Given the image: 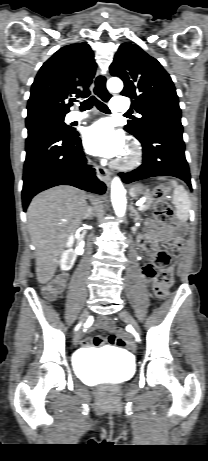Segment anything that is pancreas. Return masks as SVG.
Listing matches in <instances>:
<instances>
[{
    "label": "pancreas",
    "mask_w": 208,
    "mask_h": 461,
    "mask_svg": "<svg viewBox=\"0 0 208 461\" xmlns=\"http://www.w3.org/2000/svg\"><path fill=\"white\" fill-rule=\"evenodd\" d=\"M152 202H153L152 198L148 196L146 203L142 207H140L139 209L140 210H146V209L151 208L152 207Z\"/></svg>",
    "instance_id": "1"
}]
</instances>
